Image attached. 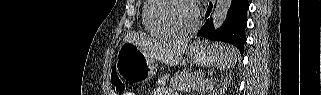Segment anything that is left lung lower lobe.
<instances>
[{
  "label": "left lung lower lobe",
  "instance_id": "1",
  "mask_svg": "<svg viewBox=\"0 0 321 95\" xmlns=\"http://www.w3.org/2000/svg\"><path fill=\"white\" fill-rule=\"evenodd\" d=\"M211 9L212 3H210L206 12L207 16L210 14ZM248 9V0H232L227 18L222 27L218 31H215L212 20H207L197 36L233 44L243 53L244 43L246 42L245 27L247 24Z\"/></svg>",
  "mask_w": 321,
  "mask_h": 95
}]
</instances>
